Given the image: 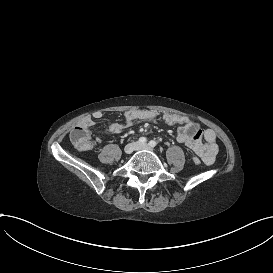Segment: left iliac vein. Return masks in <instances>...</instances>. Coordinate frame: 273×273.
<instances>
[{"instance_id": "obj_1", "label": "left iliac vein", "mask_w": 273, "mask_h": 273, "mask_svg": "<svg viewBox=\"0 0 273 273\" xmlns=\"http://www.w3.org/2000/svg\"><path fill=\"white\" fill-rule=\"evenodd\" d=\"M143 149L149 150V151L152 150V148H151L148 144H141V145H138V147H137L135 150H143Z\"/></svg>"}]
</instances>
